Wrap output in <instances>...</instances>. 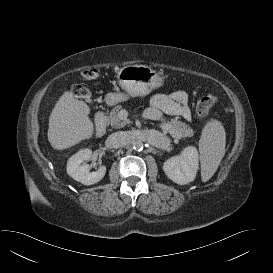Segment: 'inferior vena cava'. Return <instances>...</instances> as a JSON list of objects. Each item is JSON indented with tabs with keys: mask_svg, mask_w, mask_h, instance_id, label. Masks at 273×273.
<instances>
[{
	"mask_svg": "<svg viewBox=\"0 0 273 273\" xmlns=\"http://www.w3.org/2000/svg\"><path fill=\"white\" fill-rule=\"evenodd\" d=\"M128 140L127 133L124 131H118L115 133H112L108 139V144L113 148H119L122 145H124Z\"/></svg>",
	"mask_w": 273,
	"mask_h": 273,
	"instance_id": "inferior-vena-cava-1",
	"label": "inferior vena cava"
}]
</instances>
